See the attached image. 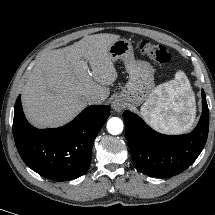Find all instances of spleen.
Listing matches in <instances>:
<instances>
[{"label":"spleen","mask_w":215,"mask_h":215,"mask_svg":"<svg viewBox=\"0 0 215 215\" xmlns=\"http://www.w3.org/2000/svg\"><path fill=\"white\" fill-rule=\"evenodd\" d=\"M140 113L158 131L171 134L188 131L195 119V107L194 95L185 73L178 71L174 80L155 88Z\"/></svg>","instance_id":"1"}]
</instances>
